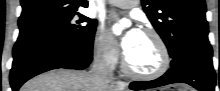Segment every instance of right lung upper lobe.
<instances>
[{"mask_svg": "<svg viewBox=\"0 0 220 91\" xmlns=\"http://www.w3.org/2000/svg\"><path fill=\"white\" fill-rule=\"evenodd\" d=\"M22 14L18 24L59 13L77 11L79 6L87 7L85 0H21Z\"/></svg>", "mask_w": 220, "mask_h": 91, "instance_id": "obj_1", "label": "right lung upper lobe"}]
</instances>
